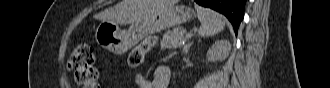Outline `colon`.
<instances>
[{
    "instance_id": "colon-1",
    "label": "colon",
    "mask_w": 330,
    "mask_h": 88,
    "mask_svg": "<svg viewBox=\"0 0 330 88\" xmlns=\"http://www.w3.org/2000/svg\"><path fill=\"white\" fill-rule=\"evenodd\" d=\"M154 44L155 39L149 37L132 49L128 58L130 67H139L144 61L145 54ZM67 67L74 72L76 82L83 88H99V72L91 46H76L67 60Z\"/></svg>"
}]
</instances>
